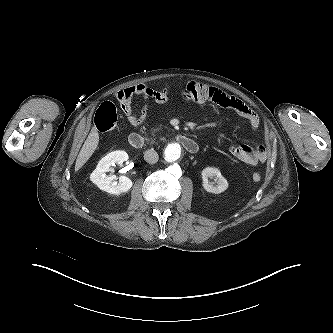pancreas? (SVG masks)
I'll use <instances>...</instances> for the list:
<instances>
[{
	"label": "pancreas",
	"mask_w": 333,
	"mask_h": 333,
	"mask_svg": "<svg viewBox=\"0 0 333 333\" xmlns=\"http://www.w3.org/2000/svg\"><path fill=\"white\" fill-rule=\"evenodd\" d=\"M154 133H155V130L153 131V134H152V135H153V137L155 136V134H154Z\"/></svg>",
	"instance_id": "pancreas-1"
}]
</instances>
